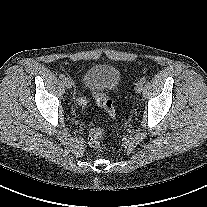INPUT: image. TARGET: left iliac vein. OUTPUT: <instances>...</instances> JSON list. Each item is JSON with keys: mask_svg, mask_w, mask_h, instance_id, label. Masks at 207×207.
<instances>
[{"mask_svg": "<svg viewBox=\"0 0 207 207\" xmlns=\"http://www.w3.org/2000/svg\"><path fill=\"white\" fill-rule=\"evenodd\" d=\"M143 89V82L142 81H138L136 84H135V91L136 93H140Z\"/></svg>", "mask_w": 207, "mask_h": 207, "instance_id": "left-iliac-vein-1", "label": "left iliac vein"}]
</instances>
